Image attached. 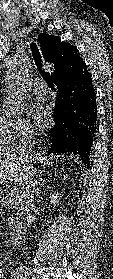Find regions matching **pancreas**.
I'll return each mask as SVG.
<instances>
[{
    "label": "pancreas",
    "mask_w": 113,
    "mask_h": 279,
    "mask_svg": "<svg viewBox=\"0 0 113 279\" xmlns=\"http://www.w3.org/2000/svg\"><path fill=\"white\" fill-rule=\"evenodd\" d=\"M2 206L14 211L8 219L9 229L22 224L23 220V197L20 196L15 190L7 191L1 198Z\"/></svg>",
    "instance_id": "cf45deb5"
}]
</instances>
